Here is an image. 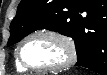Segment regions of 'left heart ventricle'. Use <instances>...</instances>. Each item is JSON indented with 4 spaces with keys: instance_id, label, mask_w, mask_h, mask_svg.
<instances>
[{
    "instance_id": "left-heart-ventricle-1",
    "label": "left heart ventricle",
    "mask_w": 107,
    "mask_h": 75,
    "mask_svg": "<svg viewBox=\"0 0 107 75\" xmlns=\"http://www.w3.org/2000/svg\"><path fill=\"white\" fill-rule=\"evenodd\" d=\"M22 55L30 65L42 67L63 62L67 53L64 46L55 39L36 36L24 45Z\"/></svg>"
}]
</instances>
